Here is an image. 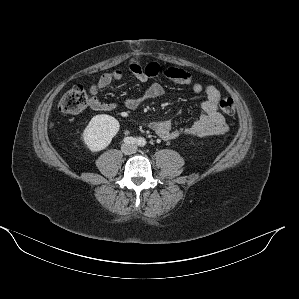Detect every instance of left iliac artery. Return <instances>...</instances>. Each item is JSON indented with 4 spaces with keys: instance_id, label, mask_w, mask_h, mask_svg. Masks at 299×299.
<instances>
[{
    "instance_id": "obj_1",
    "label": "left iliac artery",
    "mask_w": 299,
    "mask_h": 299,
    "mask_svg": "<svg viewBox=\"0 0 299 299\" xmlns=\"http://www.w3.org/2000/svg\"><path fill=\"white\" fill-rule=\"evenodd\" d=\"M145 143H146V141H145V139H143V138H139L138 141H137V144H138L139 146H144Z\"/></svg>"
}]
</instances>
